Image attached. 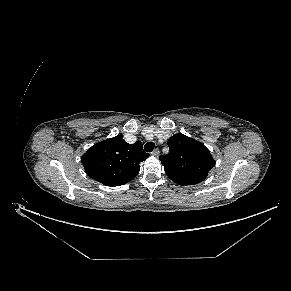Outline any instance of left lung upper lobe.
I'll list each match as a JSON object with an SVG mask.
<instances>
[{
  "instance_id": "1",
  "label": "left lung upper lobe",
  "mask_w": 291,
  "mask_h": 291,
  "mask_svg": "<svg viewBox=\"0 0 291 291\" xmlns=\"http://www.w3.org/2000/svg\"><path fill=\"white\" fill-rule=\"evenodd\" d=\"M170 152L160 157L167 176L179 185H195L214 167L209 150L199 141L175 134L168 140Z\"/></svg>"
}]
</instances>
